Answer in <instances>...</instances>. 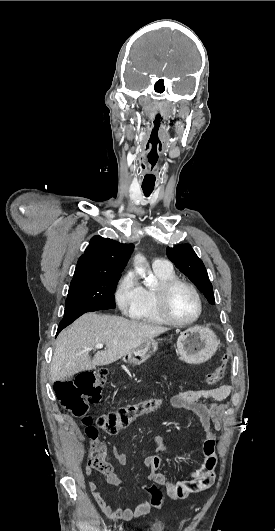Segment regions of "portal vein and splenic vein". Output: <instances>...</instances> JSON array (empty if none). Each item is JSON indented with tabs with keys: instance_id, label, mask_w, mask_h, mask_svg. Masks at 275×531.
<instances>
[{
	"instance_id": "obj_1",
	"label": "portal vein and splenic vein",
	"mask_w": 275,
	"mask_h": 531,
	"mask_svg": "<svg viewBox=\"0 0 275 531\" xmlns=\"http://www.w3.org/2000/svg\"><path fill=\"white\" fill-rule=\"evenodd\" d=\"M94 349H103L102 343H99V345H96V347H94ZM85 351H93V349H85Z\"/></svg>"
}]
</instances>
